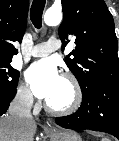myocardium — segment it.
Wrapping results in <instances>:
<instances>
[{"label": "myocardium", "instance_id": "f54148a6", "mask_svg": "<svg viewBox=\"0 0 119 141\" xmlns=\"http://www.w3.org/2000/svg\"><path fill=\"white\" fill-rule=\"evenodd\" d=\"M67 81L72 89V100L69 105L62 108L52 107L48 101L45 102V109L48 113L52 115H70L75 113L81 106L83 100V93L79 81L72 73H63L62 77Z\"/></svg>", "mask_w": 119, "mask_h": 141}]
</instances>
